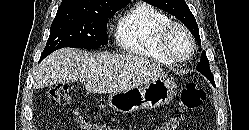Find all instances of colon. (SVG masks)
Instances as JSON below:
<instances>
[{
  "label": "colon",
  "instance_id": "colon-1",
  "mask_svg": "<svg viewBox=\"0 0 249 130\" xmlns=\"http://www.w3.org/2000/svg\"><path fill=\"white\" fill-rule=\"evenodd\" d=\"M47 97L58 105H67L70 103L69 87L66 84H58L47 90ZM205 91L196 83H187L180 93V107L183 110H195L202 106L205 100ZM80 127L83 130H128L123 127H114L108 124L92 122L79 118ZM177 119L173 118L153 130H176Z\"/></svg>",
  "mask_w": 249,
  "mask_h": 130
}]
</instances>
